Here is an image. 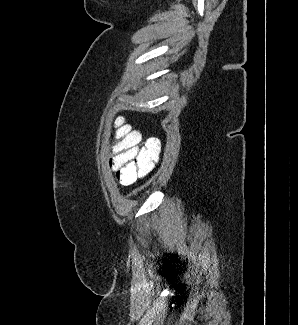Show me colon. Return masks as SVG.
Here are the masks:
<instances>
[{"label": "colon", "instance_id": "5ec220e1", "mask_svg": "<svg viewBox=\"0 0 298 325\" xmlns=\"http://www.w3.org/2000/svg\"><path fill=\"white\" fill-rule=\"evenodd\" d=\"M115 128L109 165L121 184L130 185L152 171L156 154L152 147L140 146L139 132L124 125L120 118L116 119Z\"/></svg>", "mask_w": 298, "mask_h": 325}]
</instances>
